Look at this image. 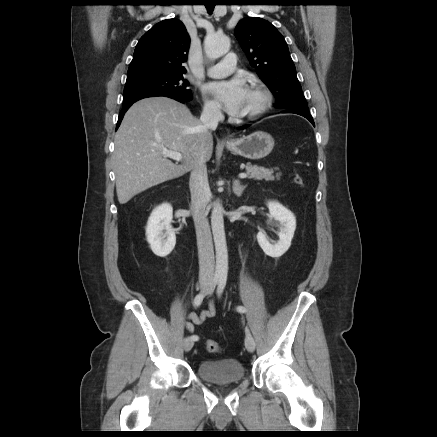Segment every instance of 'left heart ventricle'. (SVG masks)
Returning a JSON list of instances; mask_svg holds the SVG:
<instances>
[{
    "label": "left heart ventricle",
    "instance_id": "b2bd125f",
    "mask_svg": "<svg viewBox=\"0 0 437 437\" xmlns=\"http://www.w3.org/2000/svg\"><path fill=\"white\" fill-rule=\"evenodd\" d=\"M260 100V95L257 92L248 89L239 115L241 116L254 110L259 105Z\"/></svg>",
    "mask_w": 437,
    "mask_h": 437
}]
</instances>
